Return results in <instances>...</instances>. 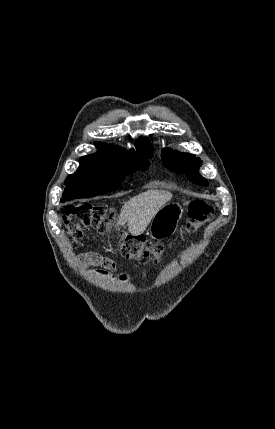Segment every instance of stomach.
I'll list each match as a JSON object with an SVG mask.
<instances>
[{"label": "stomach", "mask_w": 275, "mask_h": 429, "mask_svg": "<svg viewBox=\"0 0 275 429\" xmlns=\"http://www.w3.org/2000/svg\"><path fill=\"white\" fill-rule=\"evenodd\" d=\"M183 207L179 203L163 206L152 218L149 227L150 236L160 240L173 235L183 214Z\"/></svg>", "instance_id": "stomach-1"}]
</instances>
